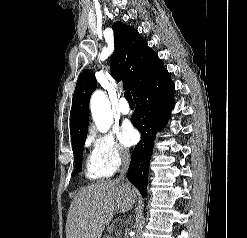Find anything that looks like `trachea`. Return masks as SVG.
<instances>
[{
  "label": "trachea",
  "mask_w": 247,
  "mask_h": 238,
  "mask_svg": "<svg viewBox=\"0 0 247 238\" xmlns=\"http://www.w3.org/2000/svg\"><path fill=\"white\" fill-rule=\"evenodd\" d=\"M124 96H125V98H126V100L128 101L129 104L134 103L130 91H126V92L124 93Z\"/></svg>",
  "instance_id": "3493384b"
}]
</instances>
